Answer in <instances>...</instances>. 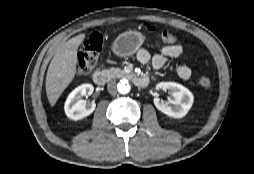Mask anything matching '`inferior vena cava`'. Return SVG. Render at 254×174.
I'll list each match as a JSON object with an SVG mask.
<instances>
[{"mask_svg": "<svg viewBox=\"0 0 254 174\" xmlns=\"http://www.w3.org/2000/svg\"><path fill=\"white\" fill-rule=\"evenodd\" d=\"M107 89H108V92H109L111 95H116V93H117V85H116V82H115V81L109 82L108 85H107Z\"/></svg>", "mask_w": 254, "mask_h": 174, "instance_id": "obj_1", "label": "inferior vena cava"}]
</instances>
